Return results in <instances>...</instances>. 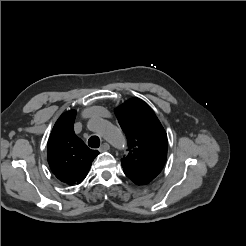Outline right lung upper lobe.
<instances>
[{
    "mask_svg": "<svg viewBox=\"0 0 246 246\" xmlns=\"http://www.w3.org/2000/svg\"><path fill=\"white\" fill-rule=\"evenodd\" d=\"M75 110L62 114L55 123L48 140L47 159L52 173L68 185L80 184L86 177L91 163L99 154L89 149L75 135L73 124Z\"/></svg>",
    "mask_w": 246,
    "mask_h": 246,
    "instance_id": "obj_1",
    "label": "right lung upper lobe"
}]
</instances>
